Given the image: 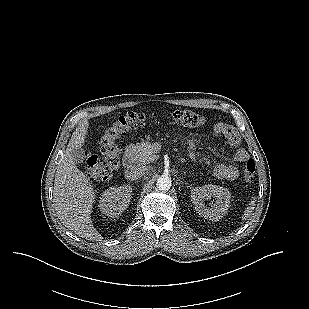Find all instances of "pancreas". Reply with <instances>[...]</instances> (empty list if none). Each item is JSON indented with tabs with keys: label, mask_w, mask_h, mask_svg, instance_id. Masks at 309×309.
I'll list each match as a JSON object with an SVG mask.
<instances>
[{
	"label": "pancreas",
	"mask_w": 309,
	"mask_h": 309,
	"mask_svg": "<svg viewBox=\"0 0 309 309\" xmlns=\"http://www.w3.org/2000/svg\"><path fill=\"white\" fill-rule=\"evenodd\" d=\"M135 161L140 164L153 162L158 158L152 144L148 141H143L133 147Z\"/></svg>",
	"instance_id": "obj_1"
}]
</instances>
